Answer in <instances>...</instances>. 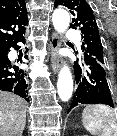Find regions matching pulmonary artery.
Returning a JSON list of instances; mask_svg holds the SVG:
<instances>
[{
	"instance_id": "obj_1",
	"label": "pulmonary artery",
	"mask_w": 117,
	"mask_h": 136,
	"mask_svg": "<svg viewBox=\"0 0 117 136\" xmlns=\"http://www.w3.org/2000/svg\"><path fill=\"white\" fill-rule=\"evenodd\" d=\"M67 38L72 39L76 44L80 45L81 44V37L78 35L75 31L69 30L67 32Z\"/></svg>"
}]
</instances>
